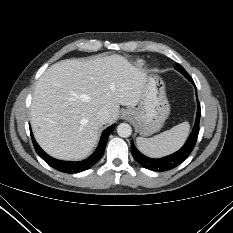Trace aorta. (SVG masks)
<instances>
[{
    "label": "aorta",
    "mask_w": 233,
    "mask_h": 233,
    "mask_svg": "<svg viewBox=\"0 0 233 233\" xmlns=\"http://www.w3.org/2000/svg\"><path fill=\"white\" fill-rule=\"evenodd\" d=\"M117 133L120 137L127 138L132 134V128L127 123H121L117 127Z\"/></svg>",
    "instance_id": "762f6f07"
}]
</instances>
